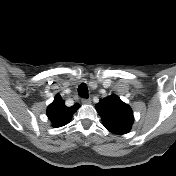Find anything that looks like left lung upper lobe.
Listing matches in <instances>:
<instances>
[{
  "instance_id": "5c2ea615",
  "label": "left lung upper lobe",
  "mask_w": 176,
  "mask_h": 176,
  "mask_svg": "<svg viewBox=\"0 0 176 176\" xmlns=\"http://www.w3.org/2000/svg\"><path fill=\"white\" fill-rule=\"evenodd\" d=\"M96 110L101 116L104 126L114 134H126L130 131L134 121L132 109L112 94L101 99L96 104Z\"/></svg>"
}]
</instances>
